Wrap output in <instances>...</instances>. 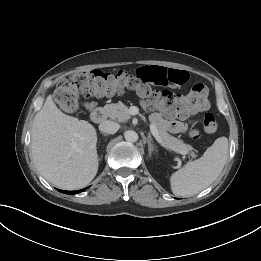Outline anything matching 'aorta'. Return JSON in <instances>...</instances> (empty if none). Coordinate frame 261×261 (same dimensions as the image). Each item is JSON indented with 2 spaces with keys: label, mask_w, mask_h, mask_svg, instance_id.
I'll return each mask as SVG.
<instances>
[{
  "label": "aorta",
  "mask_w": 261,
  "mask_h": 261,
  "mask_svg": "<svg viewBox=\"0 0 261 261\" xmlns=\"http://www.w3.org/2000/svg\"><path fill=\"white\" fill-rule=\"evenodd\" d=\"M124 137L127 142H136L138 140V134L133 130L125 131Z\"/></svg>",
  "instance_id": "aorta-1"
}]
</instances>
